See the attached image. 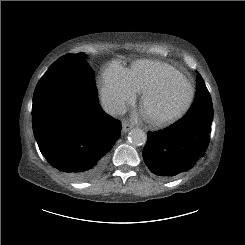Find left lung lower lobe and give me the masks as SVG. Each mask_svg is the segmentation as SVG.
Returning <instances> with one entry per match:
<instances>
[{
    "instance_id": "obj_1",
    "label": "left lung lower lobe",
    "mask_w": 245,
    "mask_h": 245,
    "mask_svg": "<svg viewBox=\"0 0 245 245\" xmlns=\"http://www.w3.org/2000/svg\"><path fill=\"white\" fill-rule=\"evenodd\" d=\"M196 98L200 106L196 119L179 120L158 132H148L143 157L155 175L174 178L193 168L205 155L213 120L212 99L202 79L197 80ZM208 95V96H207Z\"/></svg>"
}]
</instances>
